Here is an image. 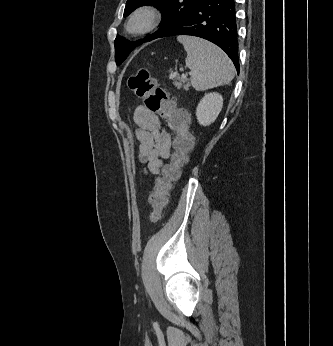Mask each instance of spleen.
I'll use <instances>...</instances> for the list:
<instances>
[{"instance_id": "3e777b00", "label": "spleen", "mask_w": 333, "mask_h": 346, "mask_svg": "<svg viewBox=\"0 0 333 346\" xmlns=\"http://www.w3.org/2000/svg\"><path fill=\"white\" fill-rule=\"evenodd\" d=\"M187 52L186 66L192 71L191 84L197 91L230 84L234 66L216 45L197 37L179 36Z\"/></svg>"}]
</instances>
